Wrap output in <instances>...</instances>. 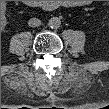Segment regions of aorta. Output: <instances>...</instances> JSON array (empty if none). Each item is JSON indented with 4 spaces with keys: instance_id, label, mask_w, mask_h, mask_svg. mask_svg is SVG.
Returning a JSON list of instances; mask_svg holds the SVG:
<instances>
[{
    "instance_id": "762f6f07",
    "label": "aorta",
    "mask_w": 109,
    "mask_h": 109,
    "mask_svg": "<svg viewBox=\"0 0 109 109\" xmlns=\"http://www.w3.org/2000/svg\"><path fill=\"white\" fill-rule=\"evenodd\" d=\"M61 25V20L60 18L58 17H52L50 20H49V26L51 28H59Z\"/></svg>"
}]
</instances>
